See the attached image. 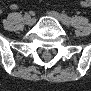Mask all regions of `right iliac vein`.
Here are the masks:
<instances>
[{
	"label": "right iliac vein",
	"instance_id": "1",
	"mask_svg": "<svg viewBox=\"0 0 91 91\" xmlns=\"http://www.w3.org/2000/svg\"><path fill=\"white\" fill-rule=\"evenodd\" d=\"M24 21L27 25L32 26L35 22V19L30 17V15L24 17Z\"/></svg>",
	"mask_w": 91,
	"mask_h": 91
}]
</instances>
